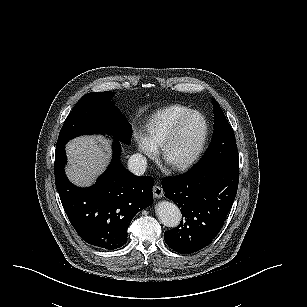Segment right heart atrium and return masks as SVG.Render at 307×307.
<instances>
[{
  "label": "right heart atrium",
  "instance_id": "d8ad5b80",
  "mask_svg": "<svg viewBox=\"0 0 307 307\" xmlns=\"http://www.w3.org/2000/svg\"><path fill=\"white\" fill-rule=\"evenodd\" d=\"M138 153L142 157H150L154 153V146L151 144V138L147 134H140L136 138Z\"/></svg>",
  "mask_w": 307,
  "mask_h": 307
}]
</instances>
